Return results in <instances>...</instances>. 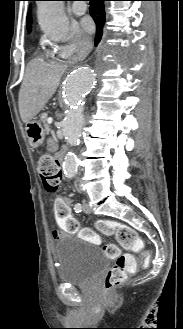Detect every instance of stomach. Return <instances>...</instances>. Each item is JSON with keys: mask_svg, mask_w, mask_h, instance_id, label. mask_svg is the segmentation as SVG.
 Returning a JSON list of instances; mask_svg holds the SVG:
<instances>
[{"mask_svg": "<svg viewBox=\"0 0 183 329\" xmlns=\"http://www.w3.org/2000/svg\"><path fill=\"white\" fill-rule=\"evenodd\" d=\"M25 132L31 147L37 148L42 145L46 132L39 120L34 118L28 121L25 125Z\"/></svg>", "mask_w": 183, "mask_h": 329, "instance_id": "1", "label": "stomach"}]
</instances>
